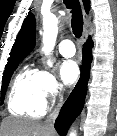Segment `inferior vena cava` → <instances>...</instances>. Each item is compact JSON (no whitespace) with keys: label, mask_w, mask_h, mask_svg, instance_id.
Returning a JSON list of instances; mask_svg holds the SVG:
<instances>
[{"label":"inferior vena cava","mask_w":117,"mask_h":136,"mask_svg":"<svg viewBox=\"0 0 117 136\" xmlns=\"http://www.w3.org/2000/svg\"><path fill=\"white\" fill-rule=\"evenodd\" d=\"M58 113H59V108L55 109V111L51 113L49 118L46 120V126L52 130L54 129V121L57 118Z\"/></svg>","instance_id":"1"}]
</instances>
